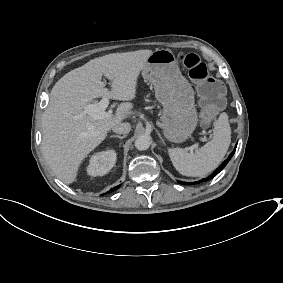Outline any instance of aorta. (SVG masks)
<instances>
[{
  "label": "aorta",
  "instance_id": "762f6f07",
  "mask_svg": "<svg viewBox=\"0 0 283 283\" xmlns=\"http://www.w3.org/2000/svg\"><path fill=\"white\" fill-rule=\"evenodd\" d=\"M151 145V139L147 135H140L135 140V147L140 150H147Z\"/></svg>",
  "mask_w": 283,
  "mask_h": 283
}]
</instances>
